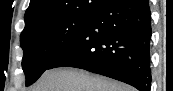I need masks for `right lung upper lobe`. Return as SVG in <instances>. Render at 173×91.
<instances>
[{
    "mask_svg": "<svg viewBox=\"0 0 173 91\" xmlns=\"http://www.w3.org/2000/svg\"><path fill=\"white\" fill-rule=\"evenodd\" d=\"M103 1L104 0H30V5L25 13V28L51 18L91 11L95 12Z\"/></svg>",
    "mask_w": 173,
    "mask_h": 91,
    "instance_id": "1",
    "label": "right lung upper lobe"
}]
</instances>
